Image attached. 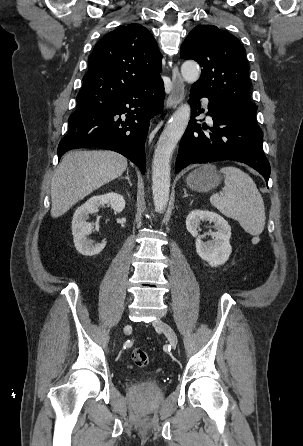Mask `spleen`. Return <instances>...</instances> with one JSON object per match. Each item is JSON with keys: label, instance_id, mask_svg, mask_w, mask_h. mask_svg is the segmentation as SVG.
Listing matches in <instances>:
<instances>
[{"label": "spleen", "instance_id": "3e777b00", "mask_svg": "<svg viewBox=\"0 0 303 446\" xmlns=\"http://www.w3.org/2000/svg\"><path fill=\"white\" fill-rule=\"evenodd\" d=\"M225 176L222 193L213 194L210 202L223 215L237 220L250 235H260L265 226V208L253 179L237 167H223Z\"/></svg>", "mask_w": 303, "mask_h": 446}]
</instances>
